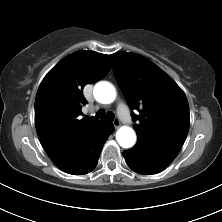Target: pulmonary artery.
I'll use <instances>...</instances> for the list:
<instances>
[{
	"mask_svg": "<svg viewBox=\"0 0 222 222\" xmlns=\"http://www.w3.org/2000/svg\"><path fill=\"white\" fill-rule=\"evenodd\" d=\"M125 106H124V104H122V103H120L119 105H118V109L120 110V109H122V108H124Z\"/></svg>",
	"mask_w": 222,
	"mask_h": 222,
	"instance_id": "e3ab8cb5",
	"label": "pulmonary artery"
}]
</instances>
